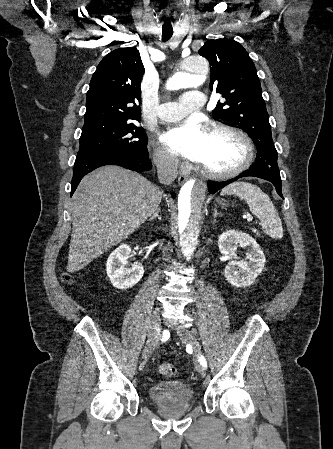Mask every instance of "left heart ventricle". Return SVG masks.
Wrapping results in <instances>:
<instances>
[{
  "mask_svg": "<svg viewBox=\"0 0 333 449\" xmlns=\"http://www.w3.org/2000/svg\"><path fill=\"white\" fill-rule=\"evenodd\" d=\"M243 154V146L236 138L207 132L198 162L211 170L223 171L238 165L243 159Z\"/></svg>",
  "mask_w": 333,
  "mask_h": 449,
  "instance_id": "obj_1",
  "label": "left heart ventricle"
}]
</instances>
